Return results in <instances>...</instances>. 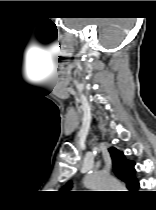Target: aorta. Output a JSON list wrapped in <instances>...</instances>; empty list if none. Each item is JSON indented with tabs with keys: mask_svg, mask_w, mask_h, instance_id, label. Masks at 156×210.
I'll use <instances>...</instances> for the list:
<instances>
[{
	"mask_svg": "<svg viewBox=\"0 0 156 210\" xmlns=\"http://www.w3.org/2000/svg\"><path fill=\"white\" fill-rule=\"evenodd\" d=\"M84 185L96 191H122L120 189H123L122 185L116 179L101 172L86 174Z\"/></svg>",
	"mask_w": 156,
	"mask_h": 210,
	"instance_id": "1",
	"label": "aorta"
}]
</instances>
